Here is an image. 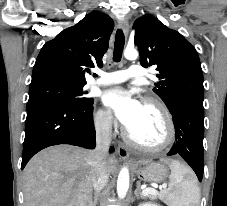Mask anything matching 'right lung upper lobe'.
Segmentation results:
<instances>
[{
  "label": "right lung upper lobe",
  "instance_id": "obj_1",
  "mask_svg": "<svg viewBox=\"0 0 227 206\" xmlns=\"http://www.w3.org/2000/svg\"><path fill=\"white\" fill-rule=\"evenodd\" d=\"M113 27L109 16L93 11L60 32L42 47L33 67L31 83L57 79L86 84L85 73L103 65L102 57L108 49Z\"/></svg>",
  "mask_w": 227,
  "mask_h": 206
}]
</instances>
